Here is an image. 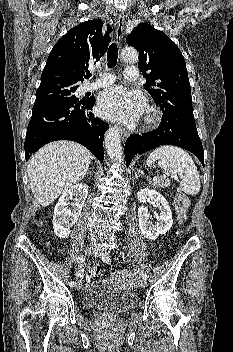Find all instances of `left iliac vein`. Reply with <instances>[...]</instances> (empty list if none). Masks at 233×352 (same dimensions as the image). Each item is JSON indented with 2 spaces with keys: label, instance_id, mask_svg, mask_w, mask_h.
Here are the masks:
<instances>
[{
  "label": "left iliac vein",
  "instance_id": "obj_1",
  "mask_svg": "<svg viewBox=\"0 0 233 352\" xmlns=\"http://www.w3.org/2000/svg\"><path fill=\"white\" fill-rule=\"evenodd\" d=\"M104 254V250L101 247H97L94 251V255L97 257H102ZM147 285L146 280L142 278V280L140 281V287L141 288H145Z\"/></svg>",
  "mask_w": 233,
  "mask_h": 352
}]
</instances>
